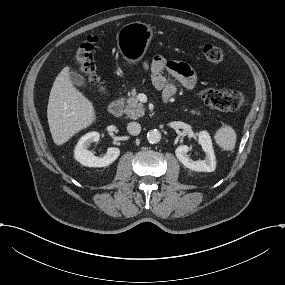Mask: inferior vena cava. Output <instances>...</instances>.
<instances>
[{
    "label": "inferior vena cava",
    "instance_id": "obj_1",
    "mask_svg": "<svg viewBox=\"0 0 285 285\" xmlns=\"http://www.w3.org/2000/svg\"><path fill=\"white\" fill-rule=\"evenodd\" d=\"M127 131L131 134V135H137L140 133L141 131V126L139 123L137 122H129L127 124Z\"/></svg>",
    "mask_w": 285,
    "mask_h": 285
}]
</instances>
